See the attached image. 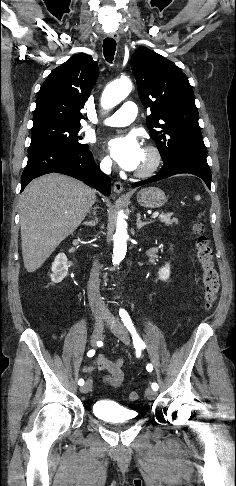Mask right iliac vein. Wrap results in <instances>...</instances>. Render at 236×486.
Wrapping results in <instances>:
<instances>
[{"mask_svg": "<svg viewBox=\"0 0 236 486\" xmlns=\"http://www.w3.org/2000/svg\"><path fill=\"white\" fill-rule=\"evenodd\" d=\"M103 330H104L103 322L101 320H98L95 323L92 336H91V344L93 346H96V343L102 339ZM91 388H92V380L88 379L85 382V384L80 388V391L85 394L88 393L91 390Z\"/></svg>", "mask_w": 236, "mask_h": 486, "instance_id": "right-iliac-vein-1", "label": "right iliac vein"}]
</instances>
